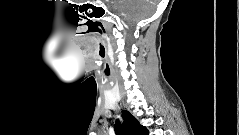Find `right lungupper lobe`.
Returning <instances> with one entry per match:
<instances>
[{
    "label": "right lung upper lobe",
    "mask_w": 239,
    "mask_h": 135,
    "mask_svg": "<svg viewBox=\"0 0 239 135\" xmlns=\"http://www.w3.org/2000/svg\"><path fill=\"white\" fill-rule=\"evenodd\" d=\"M123 117L125 119V128L121 126L120 122L117 120L115 124V132L117 135H149V132L146 127L140 125L138 120L133 117L130 112L124 110Z\"/></svg>",
    "instance_id": "obj_1"
}]
</instances>
